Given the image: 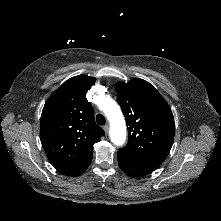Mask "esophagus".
Here are the masks:
<instances>
[{"instance_id":"esophagus-1","label":"esophagus","mask_w":221,"mask_h":221,"mask_svg":"<svg viewBox=\"0 0 221 221\" xmlns=\"http://www.w3.org/2000/svg\"><path fill=\"white\" fill-rule=\"evenodd\" d=\"M104 131L106 134L109 132V125L108 124L104 126Z\"/></svg>"}]
</instances>
